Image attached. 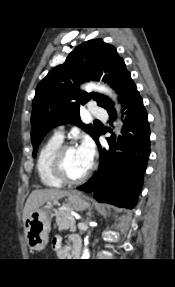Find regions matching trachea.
<instances>
[{"label":"trachea","instance_id":"3493384b","mask_svg":"<svg viewBox=\"0 0 175 287\" xmlns=\"http://www.w3.org/2000/svg\"><path fill=\"white\" fill-rule=\"evenodd\" d=\"M95 122H100L99 120H95Z\"/></svg>","mask_w":175,"mask_h":287}]
</instances>
